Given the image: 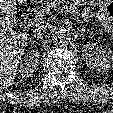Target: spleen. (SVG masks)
<instances>
[{"label": "spleen", "mask_w": 113, "mask_h": 113, "mask_svg": "<svg viewBox=\"0 0 113 113\" xmlns=\"http://www.w3.org/2000/svg\"><path fill=\"white\" fill-rule=\"evenodd\" d=\"M112 68H113V58H112V62H111Z\"/></svg>", "instance_id": "3e777b00"}]
</instances>
